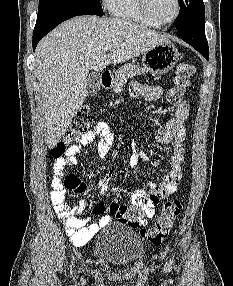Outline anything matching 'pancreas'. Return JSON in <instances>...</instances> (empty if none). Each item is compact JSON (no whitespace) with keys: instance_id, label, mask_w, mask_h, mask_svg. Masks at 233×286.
Masks as SVG:
<instances>
[{"instance_id":"cf45deb5","label":"pancreas","mask_w":233,"mask_h":286,"mask_svg":"<svg viewBox=\"0 0 233 286\" xmlns=\"http://www.w3.org/2000/svg\"><path fill=\"white\" fill-rule=\"evenodd\" d=\"M146 72H147L146 69L140 67L139 65L135 64L124 65L115 72V77L112 85L113 91L115 93H120L129 78H132L136 75L145 74Z\"/></svg>"}]
</instances>
